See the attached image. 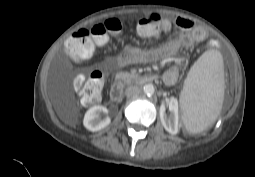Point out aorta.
<instances>
[{"mask_svg": "<svg viewBox=\"0 0 255 177\" xmlns=\"http://www.w3.org/2000/svg\"><path fill=\"white\" fill-rule=\"evenodd\" d=\"M143 91L146 95H152L155 92V88L153 84H145L143 87Z\"/></svg>", "mask_w": 255, "mask_h": 177, "instance_id": "1", "label": "aorta"}]
</instances>
